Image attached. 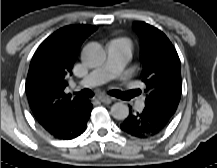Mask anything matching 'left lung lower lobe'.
<instances>
[{"label":"left lung lower lobe","mask_w":217,"mask_h":168,"mask_svg":"<svg viewBox=\"0 0 217 168\" xmlns=\"http://www.w3.org/2000/svg\"><path fill=\"white\" fill-rule=\"evenodd\" d=\"M172 116L152 106H145L142 112L128 116L120 125L126 133L146 138L161 132L171 121Z\"/></svg>","instance_id":"left-lung-lower-lobe-1"}]
</instances>
